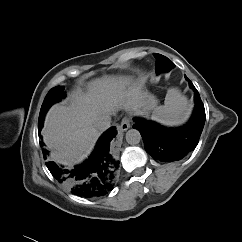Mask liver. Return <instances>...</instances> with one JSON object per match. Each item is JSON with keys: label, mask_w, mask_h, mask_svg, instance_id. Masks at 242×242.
<instances>
[{"label": "liver", "mask_w": 242, "mask_h": 242, "mask_svg": "<svg viewBox=\"0 0 242 242\" xmlns=\"http://www.w3.org/2000/svg\"><path fill=\"white\" fill-rule=\"evenodd\" d=\"M129 85L105 76L89 83L86 93L73 90L64 103L48 111L42 135L58 161L78 163L91 153L101 133L95 123L102 114L114 115L120 109L147 114L153 109L142 84Z\"/></svg>", "instance_id": "obj_1"}]
</instances>
